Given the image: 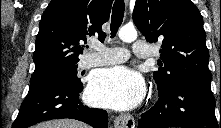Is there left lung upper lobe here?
<instances>
[{"instance_id": "5c2ea615", "label": "left lung upper lobe", "mask_w": 221, "mask_h": 128, "mask_svg": "<svg viewBox=\"0 0 221 128\" xmlns=\"http://www.w3.org/2000/svg\"><path fill=\"white\" fill-rule=\"evenodd\" d=\"M133 20L148 42L162 41L161 67L153 74L159 93L186 82L211 83L203 19L191 0H136Z\"/></svg>"}]
</instances>
